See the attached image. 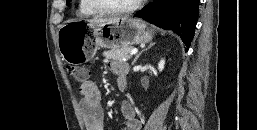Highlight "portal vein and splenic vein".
Here are the masks:
<instances>
[{"label":"portal vein and splenic vein","instance_id":"obj_1","mask_svg":"<svg viewBox=\"0 0 257 130\" xmlns=\"http://www.w3.org/2000/svg\"><path fill=\"white\" fill-rule=\"evenodd\" d=\"M137 52H138L137 49H133V50H131L130 55H134V54H136Z\"/></svg>","mask_w":257,"mask_h":130}]
</instances>
